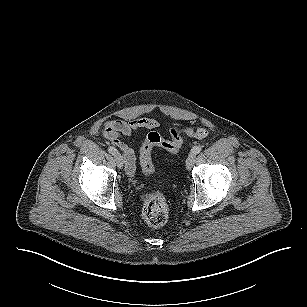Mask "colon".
<instances>
[{
    "label": "colon",
    "instance_id": "colon-1",
    "mask_svg": "<svg viewBox=\"0 0 307 307\" xmlns=\"http://www.w3.org/2000/svg\"><path fill=\"white\" fill-rule=\"evenodd\" d=\"M208 134L206 128L196 130L187 126H174L170 129V138L165 139L157 132H150L140 149V162L145 174L154 172L152 151L154 147H160L170 153H177L183 144L185 136L205 138ZM170 214V207L165 196L159 192L146 193L142 198L141 216L151 226L164 225Z\"/></svg>",
    "mask_w": 307,
    "mask_h": 307
}]
</instances>
